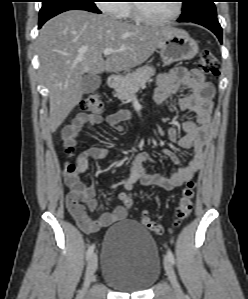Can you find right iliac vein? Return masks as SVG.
<instances>
[{"label":"right iliac vein","mask_w":248,"mask_h":299,"mask_svg":"<svg viewBox=\"0 0 248 299\" xmlns=\"http://www.w3.org/2000/svg\"><path fill=\"white\" fill-rule=\"evenodd\" d=\"M97 265H98V260H97V255L93 254L89 260L86 274H85V281H84V286H83V294L87 292V289L89 288L93 276L97 270Z\"/></svg>","instance_id":"right-iliac-vein-1"}]
</instances>
